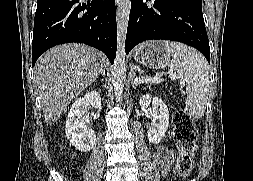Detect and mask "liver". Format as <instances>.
Returning <instances> with one entry per match:
<instances>
[{
  "label": "liver",
  "mask_w": 253,
  "mask_h": 181,
  "mask_svg": "<svg viewBox=\"0 0 253 181\" xmlns=\"http://www.w3.org/2000/svg\"><path fill=\"white\" fill-rule=\"evenodd\" d=\"M104 63L102 52L79 43L53 47L37 60L34 84L47 124H54L71 101L97 79Z\"/></svg>",
  "instance_id": "liver-1"
}]
</instances>
